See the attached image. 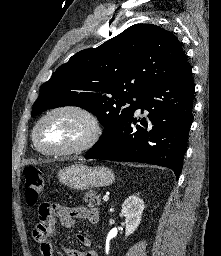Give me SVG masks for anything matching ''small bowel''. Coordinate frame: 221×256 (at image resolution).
<instances>
[{
    "label": "small bowel",
    "mask_w": 221,
    "mask_h": 256,
    "mask_svg": "<svg viewBox=\"0 0 221 256\" xmlns=\"http://www.w3.org/2000/svg\"><path fill=\"white\" fill-rule=\"evenodd\" d=\"M56 219L62 227H72L77 219H84L91 224L99 221V211L96 208L67 207L53 203H42L38 210V221L33 229L34 240L38 243L42 256H53L51 240L57 236ZM78 241L85 247L91 246L90 238L84 233L77 234ZM67 256H99L96 250L79 251L64 247Z\"/></svg>",
    "instance_id": "1"
}]
</instances>
